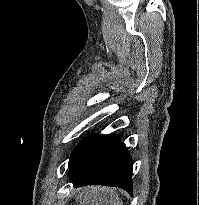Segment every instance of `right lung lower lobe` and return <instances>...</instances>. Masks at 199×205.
<instances>
[{"label":"right lung lower lobe","mask_w":199,"mask_h":205,"mask_svg":"<svg viewBox=\"0 0 199 205\" xmlns=\"http://www.w3.org/2000/svg\"><path fill=\"white\" fill-rule=\"evenodd\" d=\"M69 168V179L74 187L106 185L120 187L131 195L133 193V162L119 136H111Z\"/></svg>","instance_id":"right-lung-lower-lobe-1"}]
</instances>
